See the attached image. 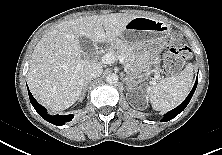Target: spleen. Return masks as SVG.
Segmentation results:
<instances>
[{"label":"spleen","mask_w":222,"mask_h":155,"mask_svg":"<svg viewBox=\"0 0 222 155\" xmlns=\"http://www.w3.org/2000/svg\"><path fill=\"white\" fill-rule=\"evenodd\" d=\"M192 80L193 68L188 64L180 74L148 86L147 94L153 109L167 111L178 106L187 97Z\"/></svg>","instance_id":"obj_1"}]
</instances>
